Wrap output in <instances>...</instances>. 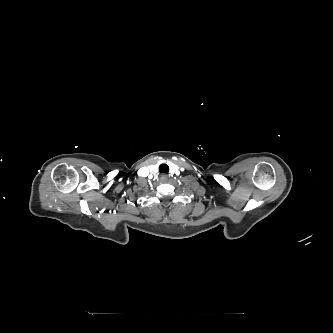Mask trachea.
I'll return each instance as SVG.
<instances>
[{
    "label": "trachea",
    "mask_w": 333,
    "mask_h": 333,
    "mask_svg": "<svg viewBox=\"0 0 333 333\" xmlns=\"http://www.w3.org/2000/svg\"><path fill=\"white\" fill-rule=\"evenodd\" d=\"M159 172L160 173H168L169 172V166L167 164H161L159 166Z\"/></svg>",
    "instance_id": "1"
}]
</instances>
